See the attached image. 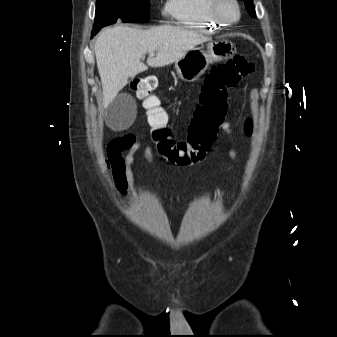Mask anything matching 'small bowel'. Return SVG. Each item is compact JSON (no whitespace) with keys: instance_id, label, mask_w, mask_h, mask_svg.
I'll return each instance as SVG.
<instances>
[{"instance_id":"1","label":"small bowel","mask_w":337,"mask_h":337,"mask_svg":"<svg viewBox=\"0 0 337 337\" xmlns=\"http://www.w3.org/2000/svg\"><path fill=\"white\" fill-rule=\"evenodd\" d=\"M222 129L228 137L232 136L229 122H224ZM140 149H142L144 160L150 166L155 167L151 145L147 144L142 147L141 143L132 135L113 140L107 148L105 166L111 175L117 195L123 203L128 200L129 196L136 195L132 165L135 162V154ZM229 156L235 160L236 151L231 149Z\"/></svg>"}]
</instances>
